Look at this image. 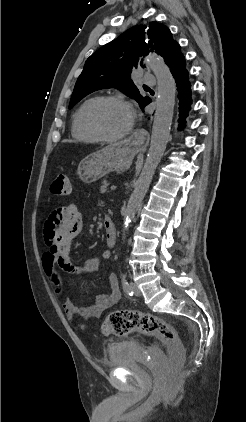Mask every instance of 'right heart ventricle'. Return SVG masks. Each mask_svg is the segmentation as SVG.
I'll return each mask as SVG.
<instances>
[{
	"label": "right heart ventricle",
	"instance_id": "1",
	"mask_svg": "<svg viewBox=\"0 0 246 422\" xmlns=\"http://www.w3.org/2000/svg\"><path fill=\"white\" fill-rule=\"evenodd\" d=\"M96 98L92 97L87 100H85L75 111L73 118H72V136L81 142L86 143H94L98 140L90 133V131L87 129L84 121V116L86 109L90 105V103Z\"/></svg>",
	"mask_w": 246,
	"mask_h": 422
}]
</instances>
